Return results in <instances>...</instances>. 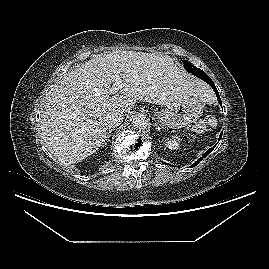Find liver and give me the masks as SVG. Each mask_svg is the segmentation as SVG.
<instances>
[{"label":"liver","mask_w":269,"mask_h":269,"mask_svg":"<svg viewBox=\"0 0 269 269\" xmlns=\"http://www.w3.org/2000/svg\"><path fill=\"white\" fill-rule=\"evenodd\" d=\"M117 75L121 95L112 96ZM192 95L213 101L211 90L182 72L170 56L117 50L87 61L57 82L42 112L41 134L61 164L78 163L102 146L109 113H127L138 100L169 105Z\"/></svg>","instance_id":"liver-1"}]
</instances>
